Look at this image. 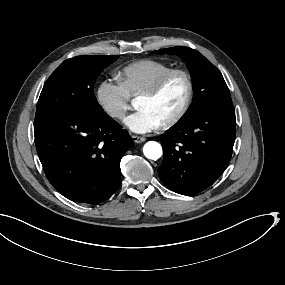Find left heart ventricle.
Returning a JSON list of instances; mask_svg holds the SVG:
<instances>
[{
	"label": "left heart ventricle",
	"mask_w": 285,
	"mask_h": 285,
	"mask_svg": "<svg viewBox=\"0 0 285 285\" xmlns=\"http://www.w3.org/2000/svg\"><path fill=\"white\" fill-rule=\"evenodd\" d=\"M183 90V80L180 77H176L161 92L142 103L156 115L159 121H162L179 106Z\"/></svg>",
	"instance_id": "1"
}]
</instances>
